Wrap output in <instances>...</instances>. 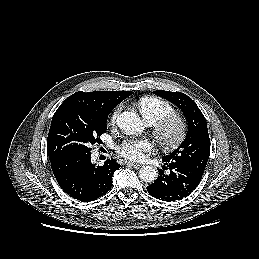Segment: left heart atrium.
<instances>
[{"label": "left heart atrium", "mask_w": 259, "mask_h": 259, "mask_svg": "<svg viewBox=\"0 0 259 259\" xmlns=\"http://www.w3.org/2000/svg\"><path fill=\"white\" fill-rule=\"evenodd\" d=\"M150 149L151 143L146 139H127L117 147L119 154L134 161L143 159L144 152Z\"/></svg>", "instance_id": "left-heart-atrium-1"}]
</instances>
